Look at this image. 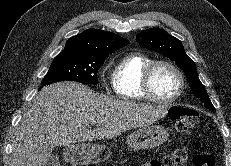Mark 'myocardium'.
I'll return each mask as SVG.
<instances>
[{
	"mask_svg": "<svg viewBox=\"0 0 231 166\" xmlns=\"http://www.w3.org/2000/svg\"><path fill=\"white\" fill-rule=\"evenodd\" d=\"M162 65L167 66L170 69H172L174 71V73L177 75L178 81H179V87H178L177 92L172 97H170L168 99H162V98L158 97L154 93L153 88H152V84H151L152 76H153L155 69L158 66H162ZM184 89H185V77H184L182 71L179 69L178 66H176L174 63H172L168 60H154L145 68V70L143 72L142 90L148 99H150L156 103L163 104V105L172 104L180 98Z\"/></svg>",
	"mask_w": 231,
	"mask_h": 166,
	"instance_id": "f54148a6",
	"label": "myocardium"
}]
</instances>
